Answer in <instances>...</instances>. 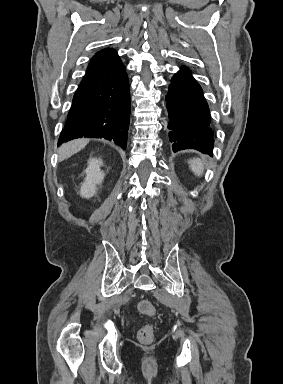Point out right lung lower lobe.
Listing matches in <instances>:
<instances>
[{
    "label": "right lung lower lobe",
    "mask_w": 283,
    "mask_h": 384,
    "mask_svg": "<svg viewBox=\"0 0 283 384\" xmlns=\"http://www.w3.org/2000/svg\"><path fill=\"white\" fill-rule=\"evenodd\" d=\"M130 111L129 80L122 62L87 72L74 94L58 146L89 137L113 140L125 149Z\"/></svg>",
    "instance_id": "obj_1"
}]
</instances>
